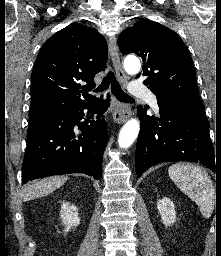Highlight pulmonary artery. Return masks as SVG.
<instances>
[{
    "instance_id": "obj_1",
    "label": "pulmonary artery",
    "mask_w": 221,
    "mask_h": 256,
    "mask_svg": "<svg viewBox=\"0 0 221 256\" xmlns=\"http://www.w3.org/2000/svg\"><path fill=\"white\" fill-rule=\"evenodd\" d=\"M130 93L134 96L147 99L154 110H159L156 96L142 83L138 81L132 82L130 85Z\"/></svg>"
}]
</instances>
